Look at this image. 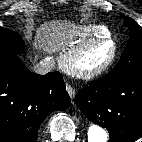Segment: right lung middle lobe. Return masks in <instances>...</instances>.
<instances>
[{"instance_id":"obj_1","label":"right lung middle lobe","mask_w":142,"mask_h":142,"mask_svg":"<svg viewBox=\"0 0 142 142\" xmlns=\"http://www.w3.org/2000/svg\"><path fill=\"white\" fill-rule=\"evenodd\" d=\"M23 49V41L19 34L0 27V57L16 56Z\"/></svg>"}]
</instances>
